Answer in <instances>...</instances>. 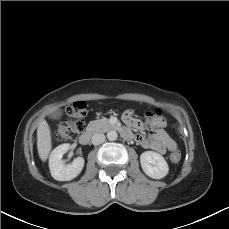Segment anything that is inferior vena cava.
<instances>
[{"instance_id":"602c4592","label":"inferior vena cava","mask_w":229,"mask_h":229,"mask_svg":"<svg viewBox=\"0 0 229 229\" xmlns=\"http://www.w3.org/2000/svg\"><path fill=\"white\" fill-rule=\"evenodd\" d=\"M105 141V135L102 133H95L92 136V144L93 145H100Z\"/></svg>"}]
</instances>
